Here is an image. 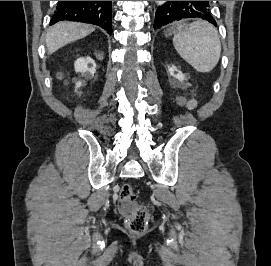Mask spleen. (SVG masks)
I'll return each mask as SVG.
<instances>
[{"instance_id":"3e777b00","label":"spleen","mask_w":271,"mask_h":266,"mask_svg":"<svg viewBox=\"0 0 271 266\" xmlns=\"http://www.w3.org/2000/svg\"><path fill=\"white\" fill-rule=\"evenodd\" d=\"M173 45L179 55L200 73L211 72L221 55L218 32L206 21H196L177 29Z\"/></svg>"}]
</instances>
